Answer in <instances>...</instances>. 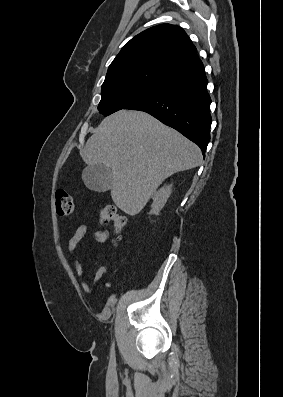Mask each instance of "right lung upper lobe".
<instances>
[{"label": "right lung upper lobe", "mask_w": 283, "mask_h": 397, "mask_svg": "<svg viewBox=\"0 0 283 397\" xmlns=\"http://www.w3.org/2000/svg\"><path fill=\"white\" fill-rule=\"evenodd\" d=\"M202 68L196 47L185 31L179 26L160 24L127 42L110 64L106 77L144 73L169 82Z\"/></svg>", "instance_id": "obj_1"}]
</instances>
